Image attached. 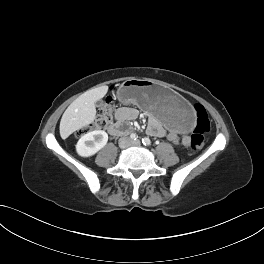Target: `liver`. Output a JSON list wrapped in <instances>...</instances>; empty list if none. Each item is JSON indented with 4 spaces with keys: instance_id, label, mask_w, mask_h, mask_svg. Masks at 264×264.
I'll use <instances>...</instances> for the list:
<instances>
[{
    "instance_id": "1",
    "label": "liver",
    "mask_w": 264,
    "mask_h": 264,
    "mask_svg": "<svg viewBox=\"0 0 264 264\" xmlns=\"http://www.w3.org/2000/svg\"><path fill=\"white\" fill-rule=\"evenodd\" d=\"M107 91L108 86L90 89L68 106L60 122V135L63 139L94 121L96 117L95 102L103 98Z\"/></svg>"
}]
</instances>
